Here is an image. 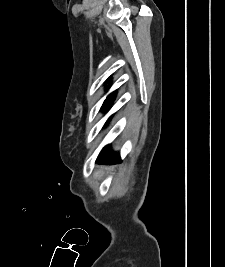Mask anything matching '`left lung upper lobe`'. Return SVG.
I'll list each match as a JSON object with an SVG mask.
<instances>
[{
  "label": "left lung upper lobe",
  "mask_w": 225,
  "mask_h": 267,
  "mask_svg": "<svg viewBox=\"0 0 225 267\" xmlns=\"http://www.w3.org/2000/svg\"><path fill=\"white\" fill-rule=\"evenodd\" d=\"M114 94H115V92L111 93V94L107 97V99L104 101V104H103V106H102L103 109H108V108H109L110 103H111V102L113 101V99H114Z\"/></svg>",
  "instance_id": "left-lung-upper-lobe-1"
}]
</instances>
